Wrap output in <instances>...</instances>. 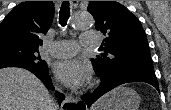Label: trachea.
Segmentation results:
<instances>
[{"instance_id": "obj_1", "label": "trachea", "mask_w": 171, "mask_h": 110, "mask_svg": "<svg viewBox=\"0 0 171 110\" xmlns=\"http://www.w3.org/2000/svg\"><path fill=\"white\" fill-rule=\"evenodd\" d=\"M70 17V6L68 1H64L59 11V23L61 26H65Z\"/></svg>"}]
</instances>
